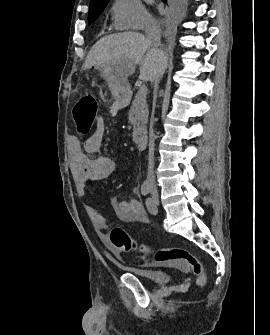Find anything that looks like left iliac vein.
I'll list each match as a JSON object with an SVG mask.
<instances>
[{
	"instance_id": "left-iliac-vein-1",
	"label": "left iliac vein",
	"mask_w": 270,
	"mask_h": 335,
	"mask_svg": "<svg viewBox=\"0 0 270 335\" xmlns=\"http://www.w3.org/2000/svg\"><path fill=\"white\" fill-rule=\"evenodd\" d=\"M152 201H153V212H152V214H156L157 213V206L159 204V196H158V193L156 191L152 192Z\"/></svg>"
}]
</instances>
